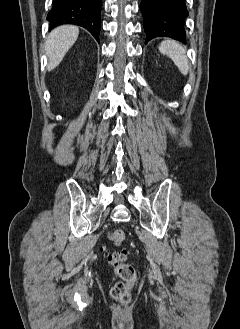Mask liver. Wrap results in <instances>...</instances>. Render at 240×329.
Masks as SVG:
<instances>
[{"label": "liver", "instance_id": "liver-1", "mask_svg": "<svg viewBox=\"0 0 240 329\" xmlns=\"http://www.w3.org/2000/svg\"><path fill=\"white\" fill-rule=\"evenodd\" d=\"M78 35L79 29L73 25L57 27L49 34L45 42L48 71L55 69L60 64L68 50L76 42Z\"/></svg>", "mask_w": 240, "mask_h": 329}]
</instances>
